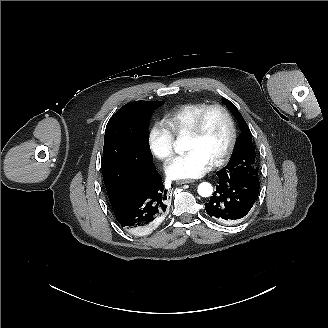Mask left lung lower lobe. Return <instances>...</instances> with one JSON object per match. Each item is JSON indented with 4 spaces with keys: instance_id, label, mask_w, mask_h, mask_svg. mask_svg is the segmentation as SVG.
Instances as JSON below:
<instances>
[{
    "instance_id": "0a47b994",
    "label": "left lung lower lobe",
    "mask_w": 328,
    "mask_h": 328,
    "mask_svg": "<svg viewBox=\"0 0 328 328\" xmlns=\"http://www.w3.org/2000/svg\"><path fill=\"white\" fill-rule=\"evenodd\" d=\"M219 185L205 204L207 214L221 223L239 221L248 214L258 198L259 179L217 173Z\"/></svg>"
}]
</instances>
